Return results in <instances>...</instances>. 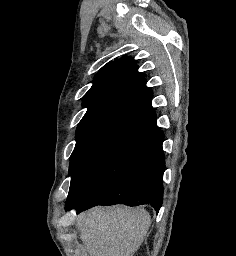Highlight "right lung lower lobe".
Returning a JSON list of instances; mask_svg holds the SVG:
<instances>
[{
    "label": "right lung lower lobe",
    "mask_w": 236,
    "mask_h": 256,
    "mask_svg": "<svg viewBox=\"0 0 236 256\" xmlns=\"http://www.w3.org/2000/svg\"><path fill=\"white\" fill-rule=\"evenodd\" d=\"M164 135L154 125L102 165L65 210L77 213L96 205L150 204L156 212L163 201Z\"/></svg>",
    "instance_id": "1"
}]
</instances>
